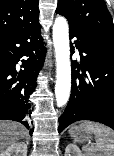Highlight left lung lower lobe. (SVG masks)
I'll list each match as a JSON object with an SVG mask.
<instances>
[{"label": "left lung lower lobe", "mask_w": 114, "mask_h": 156, "mask_svg": "<svg viewBox=\"0 0 114 156\" xmlns=\"http://www.w3.org/2000/svg\"><path fill=\"white\" fill-rule=\"evenodd\" d=\"M70 37L77 38L74 43L81 61L72 62L70 100L58 131L79 120L100 122L114 130V49L71 28Z\"/></svg>", "instance_id": "1"}]
</instances>
